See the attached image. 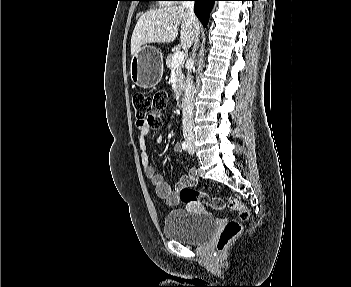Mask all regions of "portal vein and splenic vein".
Wrapping results in <instances>:
<instances>
[{
  "label": "portal vein and splenic vein",
  "instance_id": "18ae733b",
  "mask_svg": "<svg viewBox=\"0 0 351 287\" xmlns=\"http://www.w3.org/2000/svg\"><path fill=\"white\" fill-rule=\"evenodd\" d=\"M184 60V52L177 51L172 58V67H178Z\"/></svg>",
  "mask_w": 351,
  "mask_h": 287
}]
</instances>
